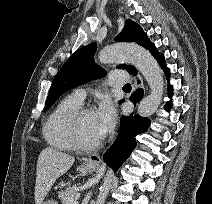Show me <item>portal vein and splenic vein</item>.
<instances>
[{"label": "portal vein and splenic vein", "instance_id": "18ae733b", "mask_svg": "<svg viewBox=\"0 0 212 204\" xmlns=\"http://www.w3.org/2000/svg\"><path fill=\"white\" fill-rule=\"evenodd\" d=\"M66 204H78V198H70Z\"/></svg>", "mask_w": 212, "mask_h": 204}]
</instances>
